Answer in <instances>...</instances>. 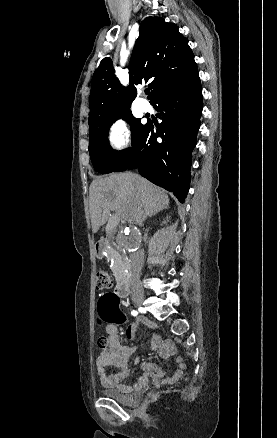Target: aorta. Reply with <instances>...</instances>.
<instances>
[{
	"label": "aorta",
	"mask_w": 277,
	"mask_h": 438,
	"mask_svg": "<svg viewBox=\"0 0 277 438\" xmlns=\"http://www.w3.org/2000/svg\"><path fill=\"white\" fill-rule=\"evenodd\" d=\"M141 243L140 230L135 226L125 228L119 236V244L122 248L133 250Z\"/></svg>",
	"instance_id": "762f6f07"
}]
</instances>
